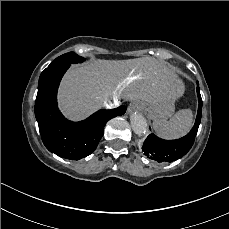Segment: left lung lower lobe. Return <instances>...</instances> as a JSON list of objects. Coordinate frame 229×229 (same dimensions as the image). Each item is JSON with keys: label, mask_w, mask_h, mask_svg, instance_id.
Listing matches in <instances>:
<instances>
[{"label": "left lung lower lobe", "mask_w": 229, "mask_h": 229, "mask_svg": "<svg viewBox=\"0 0 229 229\" xmlns=\"http://www.w3.org/2000/svg\"><path fill=\"white\" fill-rule=\"evenodd\" d=\"M197 85L199 107L193 128L186 136L176 140H164L150 134L142 146L144 154L150 159L157 162H172L182 158L191 149L201 122L202 99L198 82Z\"/></svg>", "instance_id": "1"}]
</instances>
